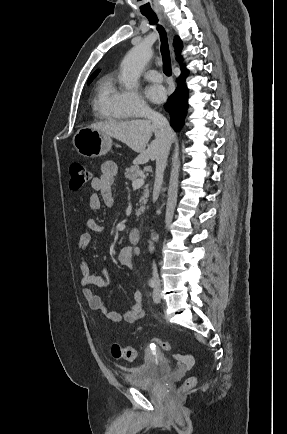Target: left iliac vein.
<instances>
[{"label": "left iliac vein", "instance_id": "4c4485c4", "mask_svg": "<svg viewBox=\"0 0 287 434\" xmlns=\"http://www.w3.org/2000/svg\"><path fill=\"white\" fill-rule=\"evenodd\" d=\"M161 300V296H160V284L157 283L154 291H153V301L155 303H159Z\"/></svg>", "mask_w": 287, "mask_h": 434}]
</instances>
